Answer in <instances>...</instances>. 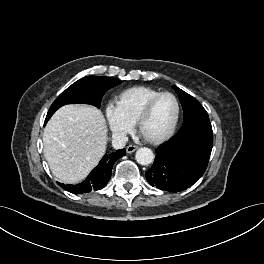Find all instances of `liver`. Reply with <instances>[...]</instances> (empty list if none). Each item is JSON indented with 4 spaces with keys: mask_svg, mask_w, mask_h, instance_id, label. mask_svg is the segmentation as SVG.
Instances as JSON below:
<instances>
[{
    "mask_svg": "<svg viewBox=\"0 0 264 264\" xmlns=\"http://www.w3.org/2000/svg\"><path fill=\"white\" fill-rule=\"evenodd\" d=\"M107 126L100 110L89 105H65L48 121L44 154L54 176L63 183L82 181L106 151Z\"/></svg>",
    "mask_w": 264,
    "mask_h": 264,
    "instance_id": "liver-1",
    "label": "liver"
}]
</instances>
